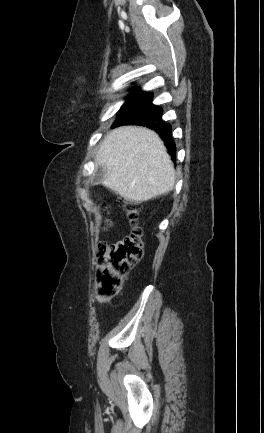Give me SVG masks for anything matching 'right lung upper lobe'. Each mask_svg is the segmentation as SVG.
<instances>
[{"mask_svg":"<svg viewBox=\"0 0 264 433\" xmlns=\"http://www.w3.org/2000/svg\"><path fill=\"white\" fill-rule=\"evenodd\" d=\"M138 90H139V89H135L134 92H135V91H138ZM168 148H169V147H168ZM173 156H174V155H173Z\"/></svg>","mask_w":264,"mask_h":433,"instance_id":"cb5924a9","label":"right lung upper lobe"}]
</instances>
